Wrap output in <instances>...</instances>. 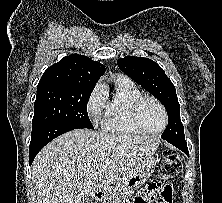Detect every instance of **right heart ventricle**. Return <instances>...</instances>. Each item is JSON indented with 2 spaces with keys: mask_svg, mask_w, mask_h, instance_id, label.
I'll return each instance as SVG.
<instances>
[{
  "mask_svg": "<svg viewBox=\"0 0 222 203\" xmlns=\"http://www.w3.org/2000/svg\"><path fill=\"white\" fill-rule=\"evenodd\" d=\"M142 92L127 78L115 80V90L106 104L104 130L120 135H140L143 132L134 124L130 108Z\"/></svg>",
  "mask_w": 222,
  "mask_h": 203,
  "instance_id": "e07e8e85",
  "label": "right heart ventricle"
}]
</instances>
